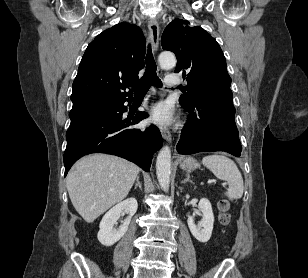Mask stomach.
Wrapping results in <instances>:
<instances>
[{
  "instance_id": "obj_1",
  "label": "stomach",
  "mask_w": 308,
  "mask_h": 278,
  "mask_svg": "<svg viewBox=\"0 0 308 278\" xmlns=\"http://www.w3.org/2000/svg\"><path fill=\"white\" fill-rule=\"evenodd\" d=\"M180 167L183 170H185L187 172H190V171L195 170L196 168H198L199 164H198V162L194 158L186 157L180 163Z\"/></svg>"
}]
</instances>
